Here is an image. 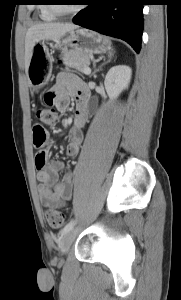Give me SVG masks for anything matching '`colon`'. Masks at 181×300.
I'll return each instance as SVG.
<instances>
[{
	"mask_svg": "<svg viewBox=\"0 0 181 300\" xmlns=\"http://www.w3.org/2000/svg\"><path fill=\"white\" fill-rule=\"evenodd\" d=\"M54 95L47 93L45 95L46 107L37 108L34 112L35 118L43 124H51L58 118V112L52 107ZM48 139V133L41 124H35L33 127V145L37 150L35 156V164L42 167L45 163V157L41 154V150ZM45 220L52 228H59L65 223V215L56 208H48L45 211Z\"/></svg>",
	"mask_w": 181,
	"mask_h": 300,
	"instance_id": "colon-1",
	"label": "colon"
}]
</instances>
